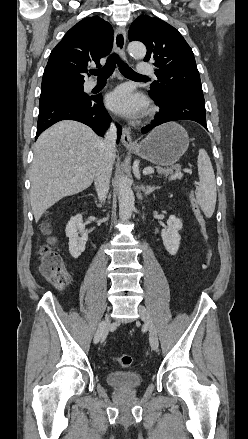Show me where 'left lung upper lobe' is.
<instances>
[{"instance_id": "1", "label": "left lung upper lobe", "mask_w": 248, "mask_h": 439, "mask_svg": "<svg viewBox=\"0 0 248 439\" xmlns=\"http://www.w3.org/2000/svg\"><path fill=\"white\" fill-rule=\"evenodd\" d=\"M129 40L143 42L144 61L156 66L152 97L161 103L175 97L204 101L193 51L178 30L159 18L141 15L130 26Z\"/></svg>"}]
</instances>
